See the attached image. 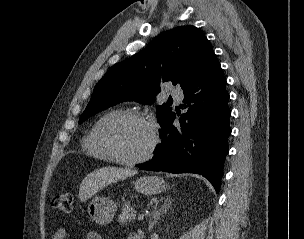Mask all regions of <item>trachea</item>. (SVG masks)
I'll use <instances>...</instances> for the list:
<instances>
[{"instance_id": "obj_1", "label": "trachea", "mask_w": 304, "mask_h": 239, "mask_svg": "<svg viewBox=\"0 0 304 239\" xmlns=\"http://www.w3.org/2000/svg\"><path fill=\"white\" fill-rule=\"evenodd\" d=\"M168 101H169V102H172V99H169Z\"/></svg>"}]
</instances>
